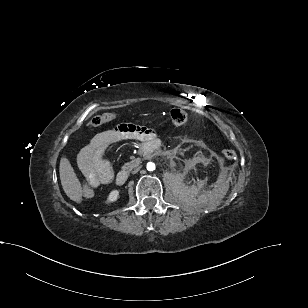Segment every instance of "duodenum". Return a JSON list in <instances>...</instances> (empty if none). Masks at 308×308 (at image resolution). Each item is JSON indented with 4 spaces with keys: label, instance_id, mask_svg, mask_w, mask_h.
Listing matches in <instances>:
<instances>
[{
    "label": "duodenum",
    "instance_id": "duodenum-1",
    "mask_svg": "<svg viewBox=\"0 0 308 308\" xmlns=\"http://www.w3.org/2000/svg\"><path fill=\"white\" fill-rule=\"evenodd\" d=\"M157 149V144L155 142H150L149 144H146L144 148L142 149V154L144 156H149L152 151H155ZM129 177V172L126 170H122L117 173L115 177V182L118 185H123Z\"/></svg>",
    "mask_w": 308,
    "mask_h": 308
}]
</instances>
